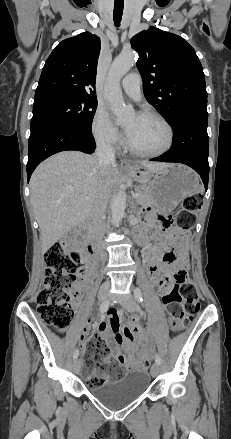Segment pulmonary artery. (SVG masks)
<instances>
[{
    "mask_svg": "<svg viewBox=\"0 0 231 439\" xmlns=\"http://www.w3.org/2000/svg\"><path fill=\"white\" fill-rule=\"evenodd\" d=\"M140 83H141V79L138 73H131L126 75L121 82L123 90L130 97L136 100H138L141 95Z\"/></svg>",
    "mask_w": 231,
    "mask_h": 439,
    "instance_id": "obj_1",
    "label": "pulmonary artery"
}]
</instances>
